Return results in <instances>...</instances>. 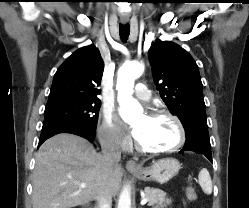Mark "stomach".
<instances>
[{
	"label": "stomach",
	"mask_w": 249,
	"mask_h": 208,
	"mask_svg": "<svg viewBox=\"0 0 249 208\" xmlns=\"http://www.w3.org/2000/svg\"><path fill=\"white\" fill-rule=\"evenodd\" d=\"M180 168L181 165L178 160L174 158H165L153 162L150 167L141 168L133 173L141 180L156 181L163 184L176 176Z\"/></svg>",
	"instance_id": "obj_1"
}]
</instances>
